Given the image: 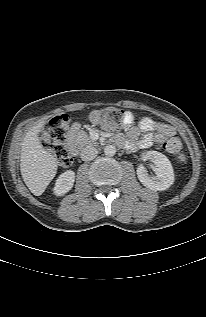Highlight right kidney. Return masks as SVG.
Returning a JSON list of instances; mask_svg holds the SVG:
<instances>
[{
  "label": "right kidney",
  "mask_w": 206,
  "mask_h": 317,
  "mask_svg": "<svg viewBox=\"0 0 206 317\" xmlns=\"http://www.w3.org/2000/svg\"><path fill=\"white\" fill-rule=\"evenodd\" d=\"M74 181H75L74 171H72V170L65 171L56 180V184L54 187V193L57 196H62L64 194H66L73 187Z\"/></svg>",
  "instance_id": "obj_1"
}]
</instances>
